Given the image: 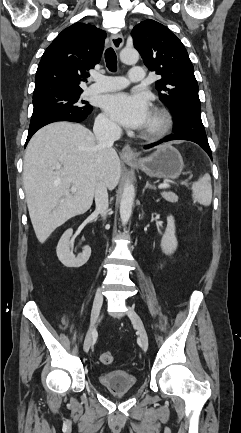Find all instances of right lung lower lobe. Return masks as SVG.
<instances>
[{"instance_id":"98d812e1","label":"right lung lower lobe","mask_w":241,"mask_h":433,"mask_svg":"<svg viewBox=\"0 0 241 433\" xmlns=\"http://www.w3.org/2000/svg\"><path fill=\"white\" fill-rule=\"evenodd\" d=\"M89 114L90 113L84 114V115L63 114V115L54 116V117H52V118H50V119H48V120L40 123L39 125L35 126L34 128L29 129L28 137H27V140H26V144L28 143V141L30 140V138L32 137V135L37 130H39L41 127H43V126H45V125H47L49 123H53V122H57V121L81 122L84 119H86ZM26 144H25V146H26Z\"/></svg>"}]
</instances>
